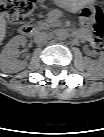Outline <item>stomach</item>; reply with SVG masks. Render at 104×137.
<instances>
[{
	"label": "stomach",
	"mask_w": 104,
	"mask_h": 137,
	"mask_svg": "<svg viewBox=\"0 0 104 137\" xmlns=\"http://www.w3.org/2000/svg\"><path fill=\"white\" fill-rule=\"evenodd\" d=\"M57 2L60 3L63 7L67 9H73L75 7H79L82 5L81 0H56Z\"/></svg>",
	"instance_id": "1"
}]
</instances>
